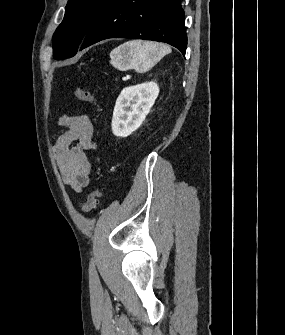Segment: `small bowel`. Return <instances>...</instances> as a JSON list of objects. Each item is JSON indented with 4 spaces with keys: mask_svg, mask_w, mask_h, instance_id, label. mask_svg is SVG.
Instances as JSON below:
<instances>
[{
    "mask_svg": "<svg viewBox=\"0 0 285 335\" xmlns=\"http://www.w3.org/2000/svg\"><path fill=\"white\" fill-rule=\"evenodd\" d=\"M59 125L67 130L54 144L57 165L65 184L80 192L90 182L92 167L87 153L95 149L94 125L87 115H64Z\"/></svg>",
    "mask_w": 285,
    "mask_h": 335,
    "instance_id": "small-bowel-1",
    "label": "small bowel"
}]
</instances>
